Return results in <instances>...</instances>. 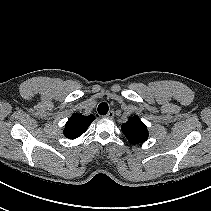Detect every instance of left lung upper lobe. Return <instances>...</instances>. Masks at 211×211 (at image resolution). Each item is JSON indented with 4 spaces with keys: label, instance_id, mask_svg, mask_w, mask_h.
Returning <instances> with one entry per match:
<instances>
[{
    "label": "left lung upper lobe",
    "instance_id": "left-lung-upper-lobe-1",
    "mask_svg": "<svg viewBox=\"0 0 211 211\" xmlns=\"http://www.w3.org/2000/svg\"><path fill=\"white\" fill-rule=\"evenodd\" d=\"M121 130L131 144L143 143L148 138L147 127L138 116H133L122 124Z\"/></svg>",
    "mask_w": 211,
    "mask_h": 211
}]
</instances>
